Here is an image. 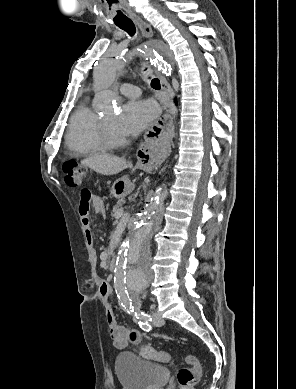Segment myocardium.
<instances>
[{"instance_id":"f54148a6","label":"myocardium","mask_w":296,"mask_h":389,"mask_svg":"<svg viewBox=\"0 0 296 389\" xmlns=\"http://www.w3.org/2000/svg\"><path fill=\"white\" fill-rule=\"evenodd\" d=\"M99 130L101 140L107 149L117 148L125 143V138L122 135L112 132L104 119H100Z\"/></svg>"}]
</instances>
